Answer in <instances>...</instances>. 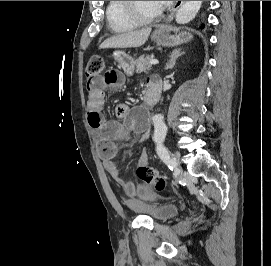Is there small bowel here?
<instances>
[{
	"label": "small bowel",
	"instance_id": "1",
	"mask_svg": "<svg viewBox=\"0 0 271 266\" xmlns=\"http://www.w3.org/2000/svg\"><path fill=\"white\" fill-rule=\"evenodd\" d=\"M156 82L154 79L149 83ZM124 83V75L118 67H108L103 74L88 78L87 90V120L90 127L97 133L99 150L104 161V167L112 180L131 199L136 198L154 200L157 198L152 187L147 184L135 185L121 178L114 158L117 154V141L125 140L131 132L145 133L147 122L138 109H131L126 104H118L115 108L116 116L121 121L106 120L102 114L104 106V91L106 89L119 90ZM146 158L144 156L143 162Z\"/></svg>",
	"mask_w": 271,
	"mask_h": 266
}]
</instances>
